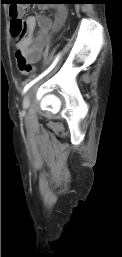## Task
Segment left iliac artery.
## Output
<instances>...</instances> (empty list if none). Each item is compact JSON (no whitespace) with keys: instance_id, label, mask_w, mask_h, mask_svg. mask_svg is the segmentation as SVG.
Listing matches in <instances>:
<instances>
[{"instance_id":"44dca946","label":"left iliac artery","mask_w":122,"mask_h":257,"mask_svg":"<svg viewBox=\"0 0 122 257\" xmlns=\"http://www.w3.org/2000/svg\"><path fill=\"white\" fill-rule=\"evenodd\" d=\"M59 57H60V54L57 55V57L55 58L53 63L48 67V69H46L42 74L37 76L35 79L31 80L28 84H26V86L23 89V93H25L30 87H32L36 82H38L45 75H47L55 67V65L57 64V62L59 60Z\"/></svg>"}]
</instances>
